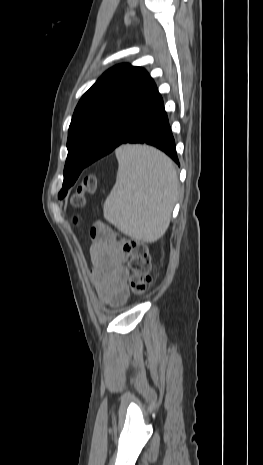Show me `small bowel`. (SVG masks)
Instances as JSON below:
<instances>
[{"instance_id": "obj_1", "label": "small bowel", "mask_w": 263, "mask_h": 465, "mask_svg": "<svg viewBox=\"0 0 263 465\" xmlns=\"http://www.w3.org/2000/svg\"><path fill=\"white\" fill-rule=\"evenodd\" d=\"M93 240L90 255L93 262L92 280L100 298L112 306L123 305L128 296L129 271L124 265L125 256L104 226L91 230Z\"/></svg>"}]
</instances>
